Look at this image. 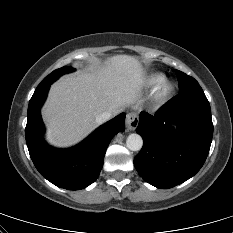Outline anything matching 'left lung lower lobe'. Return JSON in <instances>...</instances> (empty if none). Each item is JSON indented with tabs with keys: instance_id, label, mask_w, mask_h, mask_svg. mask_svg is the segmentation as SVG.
<instances>
[{
	"instance_id": "obj_1",
	"label": "left lung lower lobe",
	"mask_w": 233,
	"mask_h": 233,
	"mask_svg": "<svg viewBox=\"0 0 233 233\" xmlns=\"http://www.w3.org/2000/svg\"><path fill=\"white\" fill-rule=\"evenodd\" d=\"M136 132L143 138L134 158L140 176L160 189L179 185L200 170L209 153L213 136L209 102L203 91L180 92L154 116L141 112Z\"/></svg>"
}]
</instances>
